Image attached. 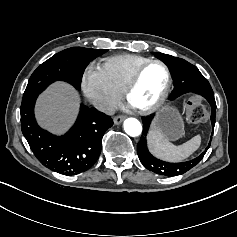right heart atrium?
<instances>
[{"mask_svg":"<svg viewBox=\"0 0 237 237\" xmlns=\"http://www.w3.org/2000/svg\"><path fill=\"white\" fill-rule=\"evenodd\" d=\"M81 88L88 101L103 114L112 113L120 103L121 93L99 66L89 65L84 70Z\"/></svg>","mask_w":237,"mask_h":237,"instance_id":"d8ad5b80","label":"right heart atrium"}]
</instances>
